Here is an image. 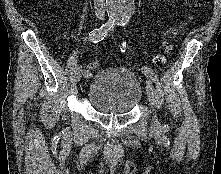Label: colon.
Segmentation results:
<instances>
[{"label": "colon", "mask_w": 221, "mask_h": 174, "mask_svg": "<svg viewBox=\"0 0 221 174\" xmlns=\"http://www.w3.org/2000/svg\"><path fill=\"white\" fill-rule=\"evenodd\" d=\"M200 5H201V2H200L199 0H197V1H195V2L193 3V7H194V8H199ZM165 49H166V51H170V50H171V47H170V46H166ZM154 62H155V64H157V65H162V64L165 62V58H164V56H162V55L156 56L155 59H154ZM98 65H99L98 61L92 60V61H90V62L88 63L87 66H88V68H90V69H95L96 67H98Z\"/></svg>", "instance_id": "1"}]
</instances>
